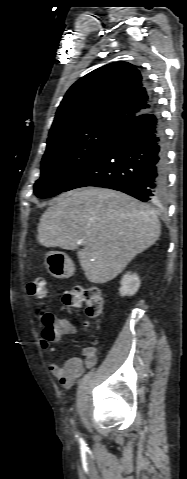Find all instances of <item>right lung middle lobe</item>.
Returning a JSON list of instances; mask_svg holds the SVG:
<instances>
[{"label": "right lung middle lobe", "instance_id": "1", "mask_svg": "<svg viewBox=\"0 0 187 479\" xmlns=\"http://www.w3.org/2000/svg\"><path fill=\"white\" fill-rule=\"evenodd\" d=\"M121 130L110 125H92L49 140L41 162V177L34 185L35 194L49 198L63 192L105 151Z\"/></svg>", "mask_w": 187, "mask_h": 479}]
</instances>
